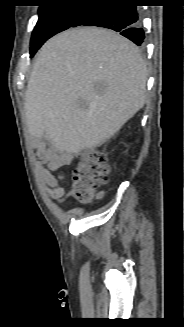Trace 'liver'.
<instances>
[{"mask_svg":"<svg viewBox=\"0 0 184 327\" xmlns=\"http://www.w3.org/2000/svg\"><path fill=\"white\" fill-rule=\"evenodd\" d=\"M147 68L137 47L107 29L62 32L39 51L25 92L27 127L77 154L110 139L143 106Z\"/></svg>","mask_w":184,"mask_h":327,"instance_id":"1","label":"liver"}]
</instances>
